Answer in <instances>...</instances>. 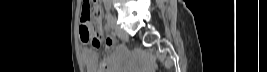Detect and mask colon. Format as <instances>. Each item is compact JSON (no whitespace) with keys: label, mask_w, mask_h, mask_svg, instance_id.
Segmentation results:
<instances>
[{"label":"colon","mask_w":267,"mask_h":72,"mask_svg":"<svg viewBox=\"0 0 267 72\" xmlns=\"http://www.w3.org/2000/svg\"><path fill=\"white\" fill-rule=\"evenodd\" d=\"M102 11L97 1H84L80 22V37L84 42H89L95 47L102 43V32L100 29Z\"/></svg>","instance_id":"colon-1"}]
</instances>
